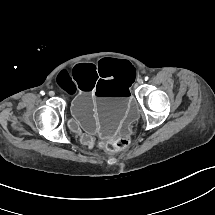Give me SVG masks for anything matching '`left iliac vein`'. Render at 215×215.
<instances>
[{
  "mask_svg": "<svg viewBox=\"0 0 215 215\" xmlns=\"http://www.w3.org/2000/svg\"><path fill=\"white\" fill-rule=\"evenodd\" d=\"M138 84H140V85L143 84V79H139Z\"/></svg>",
  "mask_w": 215,
  "mask_h": 215,
  "instance_id": "4c4485c4",
  "label": "left iliac vein"
}]
</instances>
